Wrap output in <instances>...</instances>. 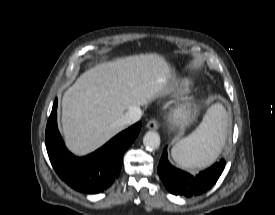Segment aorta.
Here are the masks:
<instances>
[{"label":"aorta","instance_id":"aorta-1","mask_svg":"<svg viewBox=\"0 0 275 215\" xmlns=\"http://www.w3.org/2000/svg\"><path fill=\"white\" fill-rule=\"evenodd\" d=\"M143 144L148 150H156L160 146V136L157 132L149 131L143 138Z\"/></svg>","mask_w":275,"mask_h":215}]
</instances>
